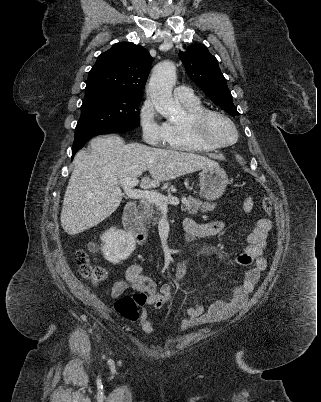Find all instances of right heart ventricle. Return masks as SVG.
<instances>
[{
	"label": "right heart ventricle",
	"instance_id": "1",
	"mask_svg": "<svg viewBox=\"0 0 321 402\" xmlns=\"http://www.w3.org/2000/svg\"><path fill=\"white\" fill-rule=\"evenodd\" d=\"M181 102L185 109V114L181 119L167 120L165 122L164 144L169 148L182 151L207 152L212 150V148L204 145L195 137L190 126L191 117L205 109V106L198 98Z\"/></svg>",
	"mask_w": 321,
	"mask_h": 402
}]
</instances>
